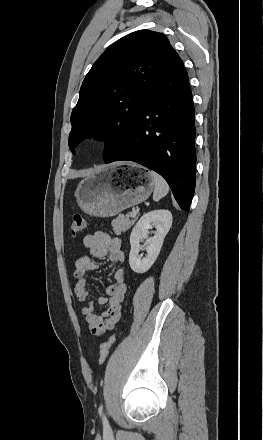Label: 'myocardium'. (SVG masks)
Listing matches in <instances>:
<instances>
[{
    "instance_id": "obj_1",
    "label": "myocardium",
    "mask_w": 263,
    "mask_h": 440,
    "mask_svg": "<svg viewBox=\"0 0 263 440\" xmlns=\"http://www.w3.org/2000/svg\"><path fill=\"white\" fill-rule=\"evenodd\" d=\"M101 142L99 139H91L88 143V148L90 151H96L99 146H100Z\"/></svg>"
}]
</instances>
